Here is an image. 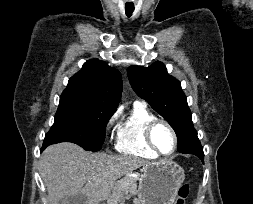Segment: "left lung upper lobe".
Returning a JSON list of instances; mask_svg holds the SVG:
<instances>
[{
    "label": "left lung upper lobe",
    "mask_w": 253,
    "mask_h": 204,
    "mask_svg": "<svg viewBox=\"0 0 253 204\" xmlns=\"http://www.w3.org/2000/svg\"><path fill=\"white\" fill-rule=\"evenodd\" d=\"M128 76L138 96L144 98L174 129L178 151L189 149L196 131L180 82L169 75L159 61L149 67L130 66Z\"/></svg>",
    "instance_id": "5c2ea615"
}]
</instances>
